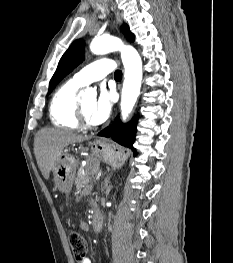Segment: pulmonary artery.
<instances>
[{
    "label": "pulmonary artery",
    "mask_w": 233,
    "mask_h": 263,
    "mask_svg": "<svg viewBox=\"0 0 233 263\" xmlns=\"http://www.w3.org/2000/svg\"><path fill=\"white\" fill-rule=\"evenodd\" d=\"M114 71L115 63L109 58H101L80 69L74 74L72 80L80 86H84L91 82L101 80Z\"/></svg>",
    "instance_id": "obj_1"
}]
</instances>
